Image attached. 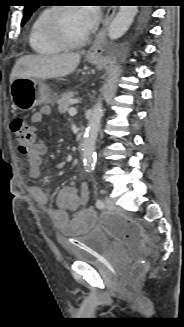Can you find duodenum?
<instances>
[{
	"mask_svg": "<svg viewBox=\"0 0 184 327\" xmlns=\"http://www.w3.org/2000/svg\"><path fill=\"white\" fill-rule=\"evenodd\" d=\"M85 143H86V138L84 136V133L81 132L80 133V138H79V150L82 151L85 147Z\"/></svg>",
	"mask_w": 184,
	"mask_h": 327,
	"instance_id": "410a0bca",
	"label": "duodenum"
}]
</instances>
